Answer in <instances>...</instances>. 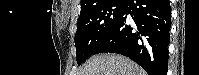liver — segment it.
<instances>
[{"label": "liver", "mask_w": 199, "mask_h": 75, "mask_svg": "<svg viewBox=\"0 0 199 75\" xmlns=\"http://www.w3.org/2000/svg\"><path fill=\"white\" fill-rule=\"evenodd\" d=\"M77 73V75H146L135 62L116 54L93 56Z\"/></svg>", "instance_id": "1"}]
</instances>
